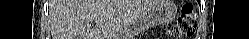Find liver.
<instances>
[{
  "label": "liver",
  "instance_id": "6515ba94",
  "mask_svg": "<svg viewBox=\"0 0 249 39\" xmlns=\"http://www.w3.org/2000/svg\"><path fill=\"white\" fill-rule=\"evenodd\" d=\"M156 0H58L51 6L53 39H118ZM96 25L93 29L91 24Z\"/></svg>",
  "mask_w": 249,
  "mask_h": 39
}]
</instances>
